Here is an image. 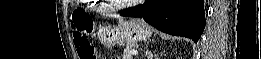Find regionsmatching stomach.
I'll use <instances>...</instances> for the list:
<instances>
[{"instance_id": "stomach-1", "label": "stomach", "mask_w": 261, "mask_h": 59, "mask_svg": "<svg viewBox=\"0 0 261 59\" xmlns=\"http://www.w3.org/2000/svg\"><path fill=\"white\" fill-rule=\"evenodd\" d=\"M151 36V28L139 19L120 20L116 26H102L98 31V38L106 48L147 41Z\"/></svg>"}]
</instances>
